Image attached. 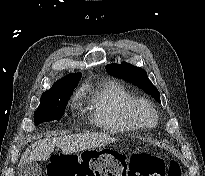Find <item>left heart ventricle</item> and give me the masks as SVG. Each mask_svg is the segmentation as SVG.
<instances>
[{
  "mask_svg": "<svg viewBox=\"0 0 205 176\" xmlns=\"http://www.w3.org/2000/svg\"><path fill=\"white\" fill-rule=\"evenodd\" d=\"M140 116L145 123H152L154 121V116L148 111H142Z\"/></svg>",
  "mask_w": 205,
  "mask_h": 176,
  "instance_id": "obj_1",
  "label": "left heart ventricle"
}]
</instances>
